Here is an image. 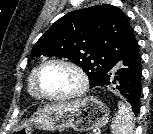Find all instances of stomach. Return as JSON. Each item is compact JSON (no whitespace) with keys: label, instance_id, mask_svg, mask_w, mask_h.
<instances>
[{"label":"stomach","instance_id":"1","mask_svg":"<svg viewBox=\"0 0 153 134\" xmlns=\"http://www.w3.org/2000/svg\"><path fill=\"white\" fill-rule=\"evenodd\" d=\"M108 121L105 105L95 97H86L71 103L47 105L16 128L17 134H32L33 127L47 131L71 128L78 132L102 127Z\"/></svg>","mask_w":153,"mask_h":134}]
</instances>
